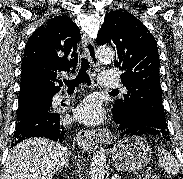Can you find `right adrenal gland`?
Wrapping results in <instances>:
<instances>
[{"mask_svg": "<svg viewBox=\"0 0 183 179\" xmlns=\"http://www.w3.org/2000/svg\"><path fill=\"white\" fill-rule=\"evenodd\" d=\"M65 168H70L71 169V163L69 161L65 164Z\"/></svg>", "mask_w": 183, "mask_h": 179, "instance_id": "obj_1", "label": "right adrenal gland"}]
</instances>
